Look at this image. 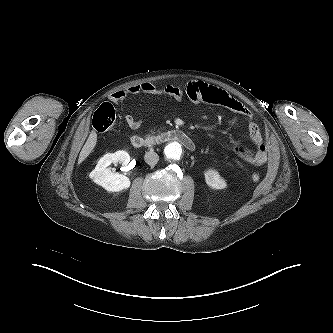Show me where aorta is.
<instances>
[{"instance_id": "aorta-1", "label": "aorta", "mask_w": 333, "mask_h": 333, "mask_svg": "<svg viewBox=\"0 0 333 333\" xmlns=\"http://www.w3.org/2000/svg\"><path fill=\"white\" fill-rule=\"evenodd\" d=\"M183 149L179 142L174 141L165 147V155L170 160H179L182 157Z\"/></svg>"}]
</instances>
